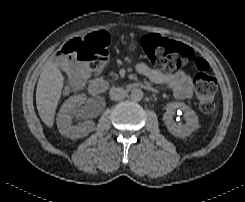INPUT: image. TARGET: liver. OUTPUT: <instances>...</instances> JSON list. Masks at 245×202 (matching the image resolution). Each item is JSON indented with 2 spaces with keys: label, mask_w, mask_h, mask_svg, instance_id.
Here are the masks:
<instances>
[{
  "label": "liver",
  "mask_w": 245,
  "mask_h": 202,
  "mask_svg": "<svg viewBox=\"0 0 245 202\" xmlns=\"http://www.w3.org/2000/svg\"><path fill=\"white\" fill-rule=\"evenodd\" d=\"M64 86V76L51 61L44 64L36 89V106L41 120L52 127Z\"/></svg>",
  "instance_id": "1"
}]
</instances>
